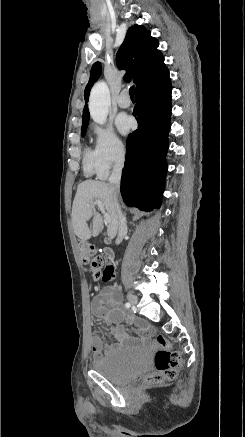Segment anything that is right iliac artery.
Wrapping results in <instances>:
<instances>
[{"label":"right iliac artery","instance_id":"obj_1","mask_svg":"<svg viewBox=\"0 0 245 437\" xmlns=\"http://www.w3.org/2000/svg\"><path fill=\"white\" fill-rule=\"evenodd\" d=\"M125 306H126L127 308H129L131 305H130V303H126Z\"/></svg>","mask_w":245,"mask_h":437}]
</instances>
